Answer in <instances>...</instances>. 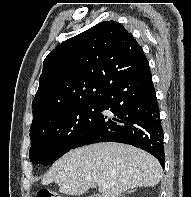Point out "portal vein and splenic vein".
Masks as SVG:
<instances>
[{
	"instance_id": "portal-vein-and-splenic-vein-1",
	"label": "portal vein and splenic vein",
	"mask_w": 191,
	"mask_h": 197,
	"mask_svg": "<svg viewBox=\"0 0 191 197\" xmlns=\"http://www.w3.org/2000/svg\"><path fill=\"white\" fill-rule=\"evenodd\" d=\"M99 188H108V185H105L103 182L98 183Z\"/></svg>"
}]
</instances>
